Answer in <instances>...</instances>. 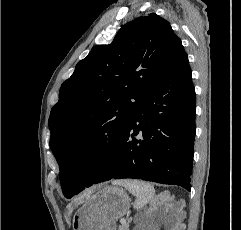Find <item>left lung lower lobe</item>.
Returning <instances> with one entry per match:
<instances>
[{
  "mask_svg": "<svg viewBox=\"0 0 241 230\" xmlns=\"http://www.w3.org/2000/svg\"><path fill=\"white\" fill-rule=\"evenodd\" d=\"M195 115V89L184 53L140 101L115 142L99 140L76 160L71 179L76 194L113 178L173 184L190 191Z\"/></svg>",
  "mask_w": 241,
  "mask_h": 230,
  "instance_id": "1",
  "label": "left lung lower lobe"
}]
</instances>
